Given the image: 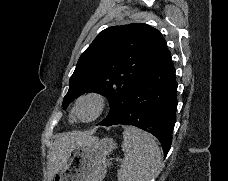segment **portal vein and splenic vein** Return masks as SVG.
<instances>
[{
	"mask_svg": "<svg viewBox=\"0 0 228 181\" xmlns=\"http://www.w3.org/2000/svg\"><path fill=\"white\" fill-rule=\"evenodd\" d=\"M117 161H121V159H117Z\"/></svg>",
	"mask_w": 228,
	"mask_h": 181,
	"instance_id": "18ae733b",
	"label": "portal vein and splenic vein"
}]
</instances>
